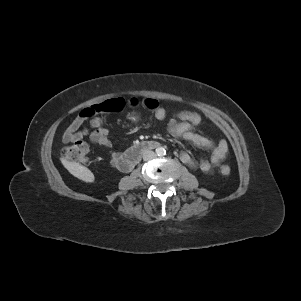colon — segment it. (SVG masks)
Returning a JSON list of instances; mask_svg holds the SVG:
<instances>
[{
	"label": "colon",
	"instance_id": "5ec220e1",
	"mask_svg": "<svg viewBox=\"0 0 301 301\" xmlns=\"http://www.w3.org/2000/svg\"><path fill=\"white\" fill-rule=\"evenodd\" d=\"M129 105H136L138 101L132 99L128 102ZM145 107L154 109L155 111L161 108L156 100L146 99L143 101ZM126 101L123 98H113L106 100L102 103L92 105L84 109L80 115L85 118H90L99 113H112L118 112L124 108ZM173 117L181 119L183 122H189L193 126H200L202 117L194 111H174ZM90 149L88 145L82 141L74 142L71 145L64 147L62 155L65 159L77 163H86L89 159ZM231 168L228 165H222L220 172L228 175Z\"/></svg>",
	"mask_w": 301,
	"mask_h": 301
}]
</instances>
